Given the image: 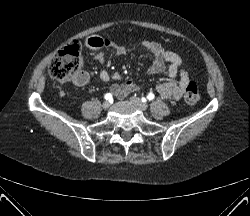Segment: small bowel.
I'll use <instances>...</instances> for the list:
<instances>
[{
    "label": "small bowel",
    "instance_id": "c3829d8e",
    "mask_svg": "<svg viewBox=\"0 0 250 216\" xmlns=\"http://www.w3.org/2000/svg\"><path fill=\"white\" fill-rule=\"evenodd\" d=\"M90 49L98 50L101 48H111L118 55L126 54V49L123 46L117 45L110 40L104 39L100 36H92L88 38L86 42ZM141 46L149 51L154 60L149 67V73L155 74L164 70L166 64L168 65L167 73L169 79L161 82L156 86L158 94L163 98L171 100H178L184 94L186 87L190 80L187 72L183 68V62L181 57L169 50L164 49L159 43L143 41ZM105 56L102 52L96 55V60L103 63ZM108 74H101L103 80L108 79ZM90 75L86 71H78L73 77V84L76 86H84L88 83ZM112 92L119 98L126 97L132 92L138 90L137 84L132 81L125 82L123 84H113L111 87Z\"/></svg>",
    "mask_w": 250,
    "mask_h": 216
}]
</instances>
